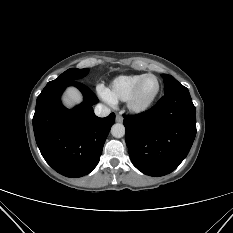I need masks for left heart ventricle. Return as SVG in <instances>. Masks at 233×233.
I'll use <instances>...</instances> for the list:
<instances>
[{
    "label": "left heart ventricle",
    "mask_w": 233,
    "mask_h": 233,
    "mask_svg": "<svg viewBox=\"0 0 233 233\" xmlns=\"http://www.w3.org/2000/svg\"><path fill=\"white\" fill-rule=\"evenodd\" d=\"M157 82L154 78L149 77L143 81L137 95L139 103L147 102L156 92Z\"/></svg>",
    "instance_id": "1"
}]
</instances>
